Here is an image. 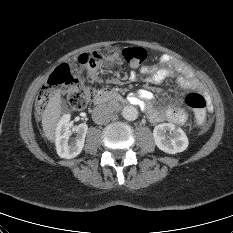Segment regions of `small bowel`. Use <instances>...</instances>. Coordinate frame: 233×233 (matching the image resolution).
<instances>
[{
  "label": "small bowel",
  "mask_w": 233,
  "mask_h": 233,
  "mask_svg": "<svg viewBox=\"0 0 233 233\" xmlns=\"http://www.w3.org/2000/svg\"><path fill=\"white\" fill-rule=\"evenodd\" d=\"M140 74L144 75L146 82L156 83L166 78H173L178 85L183 89H192L199 92H204L202 83L185 67H183L176 59L169 55H162L158 62L152 66H144L140 69ZM138 73L131 71L129 78L135 80ZM153 95L146 89H139L129 96V101L142 108L148 117L155 122H171L177 125H183L188 114L181 107V101H174L167 106H156L152 104ZM211 110V105L208 106ZM208 124L206 123L204 128Z\"/></svg>",
  "instance_id": "c3829d8e"
}]
</instances>
